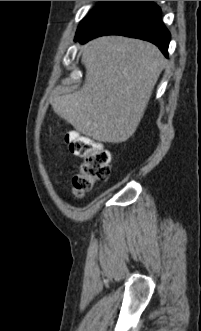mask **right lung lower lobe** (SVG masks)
Masks as SVG:
<instances>
[{
    "mask_svg": "<svg viewBox=\"0 0 201 331\" xmlns=\"http://www.w3.org/2000/svg\"><path fill=\"white\" fill-rule=\"evenodd\" d=\"M102 35H123L157 45L168 56L170 33L161 19V10L153 1H116L75 41L85 43Z\"/></svg>",
    "mask_w": 201,
    "mask_h": 331,
    "instance_id": "obj_1",
    "label": "right lung lower lobe"
}]
</instances>
